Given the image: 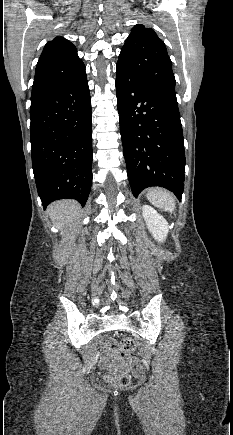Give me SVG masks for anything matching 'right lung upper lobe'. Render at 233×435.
I'll return each instance as SVG.
<instances>
[{"label": "right lung upper lobe", "instance_id": "cb5924a9", "mask_svg": "<svg viewBox=\"0 0 233 435\" xmlns=\"http://www.w3.org/2000/svg\"><path fill=\"white\" fill-rule=\"evenodd\" d=\"M85 72V65L78 57L76 47L63 37L49 41L36 66L31 100L74 80Z\"/></svg>", "mask_w": 233, "mask_h": 435}]
</instances>
